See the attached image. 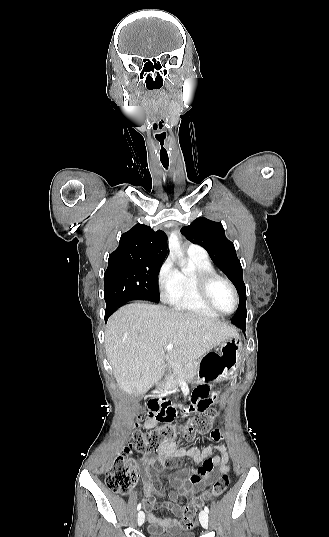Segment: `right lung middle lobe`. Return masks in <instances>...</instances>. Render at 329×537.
Here are the masks:
<instances>
[{
  "mask_svg": "<svg viewBox=\"0 0 329 537\" xmlns=\"http://www.w3.org/2000/svg\"><path fill=\"white\" fill-rule=\"evenodd\" d=\"M163 262L107 268L104 273L106 309L130 300L159 302L158 274Z\"/></svg>",
  "mask_w": 329,
  "mask_h": 537,
  "instance_id": "obj_1",
  "label": "right lung middle lobe"
}]
</instances>
